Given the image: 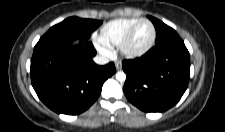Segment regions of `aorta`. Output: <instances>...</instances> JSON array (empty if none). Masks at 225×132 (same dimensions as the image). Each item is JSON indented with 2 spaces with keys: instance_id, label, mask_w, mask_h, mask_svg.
<instances>
[{
  "instance_id": "1",
  "label": "aorta",
  "mask_w": 225,
  "mask_h": 132,
  "mask_svg": "<svg viewBox=\"0 0 225 132\" xmlns=\"http://www.w3.org/2000/svg\"><path fill=\"white\" fill-rule=\"evenodd\" d=\"M116 80L119 82H124L126 80V74L123 71H119L115 75Z\"/></svg>"
}]
</instances>
